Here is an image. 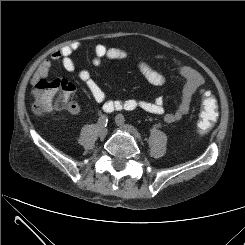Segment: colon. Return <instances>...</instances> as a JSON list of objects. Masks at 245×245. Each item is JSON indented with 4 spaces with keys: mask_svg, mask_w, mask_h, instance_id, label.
<instances>
[{
    "mask_svg": "<svg viewBox=\"0 0 245 245\" xmlns=\"http://www.w3.org/2000/svg\"><path fill=\"white\" fill-rule=\"evenodd\" d=\"M74 86L64 79L39 80L33 87V111L42 115L69 109L74 95ZM202 110L197 127L199 132L207 133L217 119V104L209 90H202Z\"/></svg>",
    "mask_w": 245,
    "mask_h": 245,
    "instance_id": "obj_1",
    "label": "colon"
}]
</instances>
